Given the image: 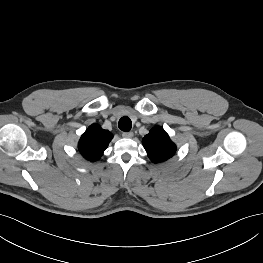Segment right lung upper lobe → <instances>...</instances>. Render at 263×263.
Instances as JSON below:
<instances>
[{"label":"right lung upper lobe","mask_w":263,"mask_h":263,"mask_svg":"<svg viewBox=\"0 0 263 263\" xmlns=\"http://www.w3.org/2000/svg\"><path fill=\"white\" fill-rule=\"evenodd\" d=\"M112 138L113 135L108 130L102 129L97 124H92L81 136L78 144L79 151L87 160H98Z\"/></svg>","instance_id":"right-lung-upper-lobe-1"}]
</instances>
